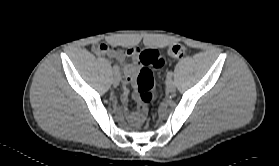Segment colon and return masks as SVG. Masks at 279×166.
I'll return each instance as SVG.
<instances>
[{
	"mask_svg": "<svg viewBox=\"0 0 279 166\" xmlns=\"http://www.w3.org/2000/svg\"><path fill=\"white\" fill-rule=\"evenodd\" d=\"M100 48L101 45H97L94 50L97 52ZM168 54L173 58L181 59L188 55V48L183 44H175L168 48ZM139 61L143 68L138 74L136 88L139 104L137 117L141 120L146 114L148 105L152 103L156 96L153 70L161 68L164 59L159 51L148 49L140 53Z\"/></svg>",
	"mask_w": 279,
	"mask_h": 166,
	"instance_id": "5ec220e1",
	"label": "colon"
}]
</instances>
